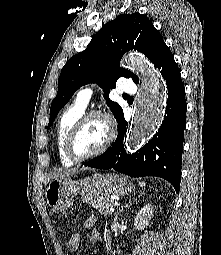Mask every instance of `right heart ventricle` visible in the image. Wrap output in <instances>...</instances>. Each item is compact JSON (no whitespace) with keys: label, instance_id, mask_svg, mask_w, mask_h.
<instances>
[{"label":"right heart ventricle","instance_id":"obj_1","mask_svg":"<svg viewBox=\"0 0 221 255\" xmlns=\"http://www.w3.org/2000/svg\"><path fill=\"white\" fill-rule=\"evenodd\" d=\"M85 107L73 104L60 116L55 131V144L59 160L63 166H72L75 162L70 160L65 152V142L67 135L74 123L84 113Z\"/></svg>","mask_w":221,"mask_h":255}]
</instances>
